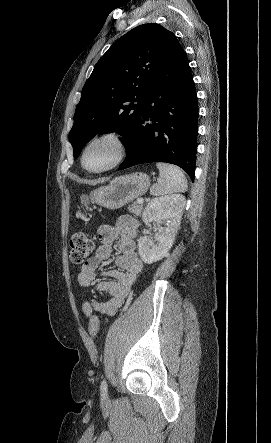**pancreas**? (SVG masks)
<instances>
[{
	"label": "pancreas",
	"mask_w": 271,
	"mask_h": 443,
	"mask_svg": "<svg viewBox=\"0 0 271 443\" xmlns=\"http://www.w3.org/2000/svg\"><path fill=\"white\" fill-rule=\"evenodd\" d=\"M128 210L129 212H131V214H136V216H141L143 206H141V204H137V202H134L132 206H129Z\"/></svg>",
	"instance_id": "pancreas-1"
}]
</instances>
